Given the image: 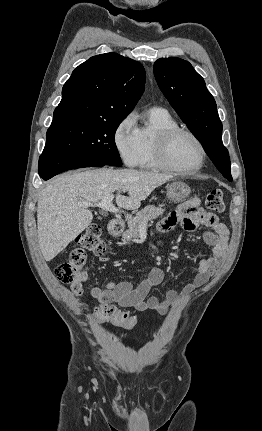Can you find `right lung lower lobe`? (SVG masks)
<instances>
[{"label": "right lung lower lobe", "instance_id": "1", "mask_svg": "<svg viewBox=\"0 0 262 431\" xmlns=\"http://www.w3.org/2000/svg\"><path fill=\"white\" fill-rule=\"evenodd\" d=\"M106 164L76 156L68 155H41L39 158L38 171L41 178L48 180L53 176L75 168L100 167Z\"/></svg>", "mask_w": 262, "mask_h": 431}]
</instances>
